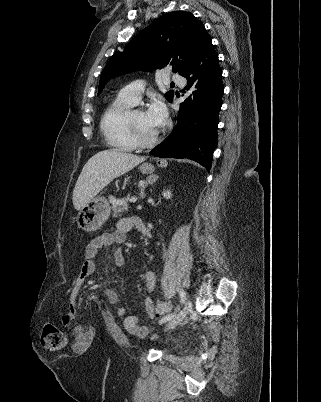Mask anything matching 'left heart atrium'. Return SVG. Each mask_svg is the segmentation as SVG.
Wrapping results in <instances>:
<instances>
[{"label":"left heart atrium","mask_w":321,"mask_h":402,"mask_svg":"<svg viewBox=\"0 0 321 402\" xmlns=\"http://www.w3.org/2000/svg\"><path fill=\"white\" fill-rule=\"evenodd\" d=\"M147 121L156 128H160L166 120V108L160 101L151 103L148 110L145 112Z\"/></svg>","instance_id":"1"}]
</instances>
